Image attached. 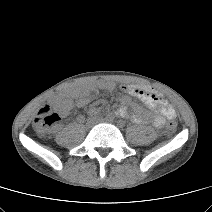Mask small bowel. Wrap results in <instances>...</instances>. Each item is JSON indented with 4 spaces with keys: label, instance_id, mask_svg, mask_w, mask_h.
I'll return each instance as SVG.
<instances>
[{
    "label": "small bowel",
    "instance_id": "1",
    "mask_svg": "<svg viewBox=\"0 0 212 212\" xmlns=\"http://www.w3.org/2000/svg\"><path fill=\"white\" fill-rule=\"evenodd\" d=\"M115 88L116 84L110 80L82 83L56 98L54 106L63 117H66L75 105L85 107L91 103L99 90L113 91ZM120 88L123 95L119 97L120 106L116 111L117 116L126 117L128 115V107L131 105V98L134 97L141 100L149 108L159 109V115L151 118L147 112L136 106L131 116L136 123H147L152 120L153 125L160 128L164 126L167 120L176 117L175 109L161 94L153 89L133 84L122 85Z\"/></svg>",
    "mask_w": 212,
    "mask_h": 212
}]
</instances>
